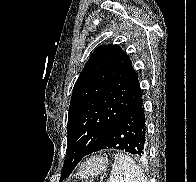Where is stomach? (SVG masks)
Masks as SVG:
<instances>
[{"instance_id":"stomach-1","label":"stomach","mask_w":196,"mask_h":182,"mask_svg":"<svg viewBox=\"0 0 196 182\" xmlns=\"http://www.w3.org/2000/svg\"><path fill=\"white\" fill-rule=\"evenodd\" d=\"M107 163V158L102 156H93L81 165L78 175L84 179L96 177L105 171Z\"/></svg>"}]
</instances>
